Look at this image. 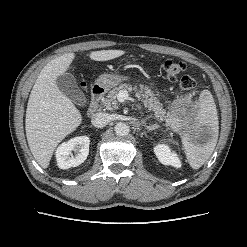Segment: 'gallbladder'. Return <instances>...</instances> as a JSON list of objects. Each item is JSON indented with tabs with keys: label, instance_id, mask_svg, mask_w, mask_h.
<instances>
[{
	"label": "gallbladder",
	"instance_id": "bac80fb5",
	"mask_svg": "<svg viewBox=\"0 0 247 247\" xmlns=\"http://www.w3.org/2000/svg\"><path fill=\"white\" fill-rule=\"evenodd\" d=\"M56 84L59 90L78 106H85L87 98L79 88L75 77L71 73H64L57 77Z\"/></svg>",
	"mask_w": 247,
	"mask_h": 247
}]
</instances>
